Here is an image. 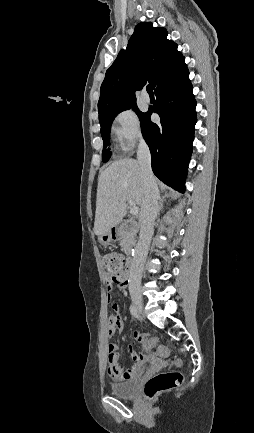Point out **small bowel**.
Here are the masks:
<instances>
[{"mask_svg":"<svg viewBox=\"0 0 254 433\" xmlns=\"http://www.w3.org/2000/svg\"><path fill=\"white\" fill-rule=\"evenodd\" d=\"M114 284L119 290H124L127 287V280L118 283H107V290L111 291ZM122 327L123 325L119 312V306L117 304H114L113 312L107 323V333L109 336H113L115 333L120 332L122 330ZM132 336L135 341L141 343H144L147 340L146 336L139 331L133 332ZM117 350L118 346L115 343H108L106 345L109 376L115 381H123L133 378L135 375L138 374L141 367L143 366L146 355L137 353L132 346H129L128 352L133 360V364L130 368L123 369L118 363L119 354ZM151 363L153 365H158L160 364V361L158 359H152Z\"/></svg>","mask_w":254,"mask_h":433,"instance_id":"c3829d8e","label":"small bowel"}]
</instances>
